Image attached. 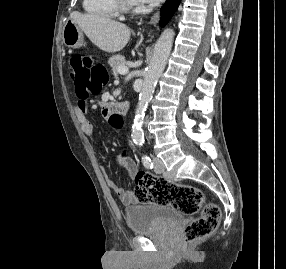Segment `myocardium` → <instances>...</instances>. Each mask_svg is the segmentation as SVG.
Returning a JSON list of instances; mask_svg holds the SVG:
<instances>
[{
    "label": "myocardium",
    "mask_w": 286,
    "mask_h": 269,
    "mask_svg": "<svg viewBox=\"0 0 286 269\" xmlns=\"http://www.w3.org/2000/svg\"><path fill=\"white\" fill-rule=\"evenodd\" d=\"M114 1L120 12H131L135 8V2L133 0H114Z\"/></svg>",
    "instance_id": "1"
}]
</instances>
